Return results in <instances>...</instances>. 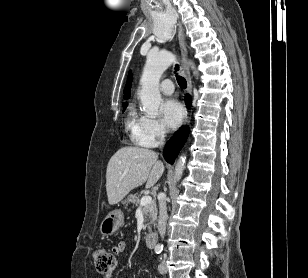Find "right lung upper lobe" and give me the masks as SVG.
<instances>
[{
  "instance_id": "1",
  "label": "right lung upper lobe",
  "mask_w": 308,
  "mask_h": 278,
  "mask_svg": "<svg viewBox=\"0 0 308 278\" xmlns=\"http://www.w3.org/2000/svg\"><path fill=\"white\" fill-rule=\"evenodd\" d=\"M131 82H132V73L130 71L129 75H128V79H127V85L125 86V89H124V94H125L126 98L130 97V84H131Z\"/></svg>"
}]
</instances>
